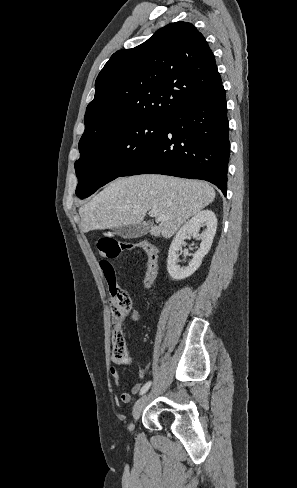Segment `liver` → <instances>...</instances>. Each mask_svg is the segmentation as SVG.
<instances>
[{
	"label": "liver",
	"instance_id": "6515ba94",
	"mask_svg": "<svg viewBox=\"0 0 297 488\" xmlns=\"http://www.w3.org/2000/svg\"><path fill=\"white\" fill-rule=\"evenodd\" d=\"M208 183L165 175L117 178L79 209L83 232L139 224L151 210L165 216L152 236L172 237L191 216L213 202Z\"/></svg>",
	"mask_w": 297,
	"mask_h": 488
}]
</instances>
